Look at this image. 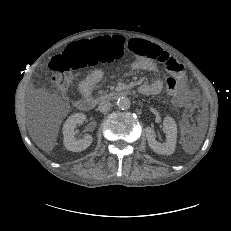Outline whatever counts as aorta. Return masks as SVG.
Returning <instances> with one entry per match:
<instances>
[{
  "mask_svg": "<svg viewBox=\"0 0 231 231\" xmlns=\"http://www.w3.org/2000/svg\"><path fill=\"white\" fill-rule=\"evenodd\" d=\"M130 105H131V102H130L129 98H127V97H120L117 101V106L121 110L129 109Z\"/></svg>",
  "mask_w": 231,
  "mask_h": 231,
  "instance_id": "aorta-1",
  "label": "aorta"
}]
</instances>
